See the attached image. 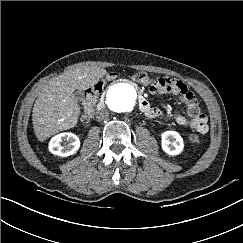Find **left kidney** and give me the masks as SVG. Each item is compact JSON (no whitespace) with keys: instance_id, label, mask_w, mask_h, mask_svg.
<instances>
[{"instance_id":"obj_1","label":"left kidney","mask_w":243,"mask_h":243,"mask_svg":"<svg viewBox=\"0 0 243 243\" xmlns=\"http://www.w3.org/2000/svg\"><path fill=\"white\" fill-rule=\"evenodd\" d=\"M161 146L165 153L178 155L184 148L183 138L176 131H165L161 135Z\"/></svg>"}]
</instances>
